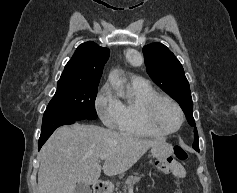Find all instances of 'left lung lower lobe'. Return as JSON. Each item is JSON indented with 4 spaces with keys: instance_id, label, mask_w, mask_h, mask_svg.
Returning <instances> with one entry per match:
<instances>
[{
    "instance_id": "1",
    "label": "left lung lower lobe",
    "mask_w": 237,
    "mask_h": 193,
    "mask_svg": "<svg viewBox=\"0 0 237 193\" xmlns=\"http://www.w3.org/2000/svg\"><path fill=\"white\" fill-rule=\"evenodd\" d=\"M193 148H194L195 150L199 151V148H197V147H194V146H193Z\"/></svg>"
}]
</instances>
